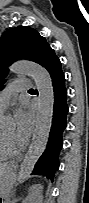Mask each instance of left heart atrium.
I'll use <instances>...</instances> for the list:
<instances>
[{"mask_svg":"<svg viewBox=\"0 0 89 203\" xmlns=\"http://www.w3.org/2000/svg\"><path fill=\"white\" fill-rule=\"evenodd\" d=\"M15 122L16 135L23 143H25L34 127L33 115L25 107H21L15 113Z\"/></svg>","mask_w":89,"mask_h":203,"instance_id":"left-heart-atrium-1","label":"left heart atrium"}]
</instances>
